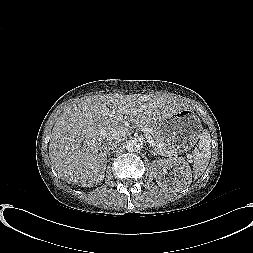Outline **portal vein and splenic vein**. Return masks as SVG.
I'll use <instances>...</instances> for the list:
<instances>
[{
  "instance_id": "18ae733b",
  "label": "portal vein and splenic vein",
  "mask_w": 253,
  "mask_h": 253,
  "mask_svg": "<svg viewBox=\"0 0 253 253\" xmlns=\"http://www.w3.org/2000/svg\"><path fill=\"white\" fill-rule=\"evenodd\" d=\"M124 124H125V126H129V124L127 123V122H124ZM128 129V128H127ZM145 132H146V138H147V141L150 143V145H152V146H156V143H155V141L153 140V138H152V136H150V135H147L148 134V132H150V130L149 129H145L144 130ZM161 145H159V147H160ZM190 157H192L191 155H189Z\"/></svg>"
}]
</instances>
